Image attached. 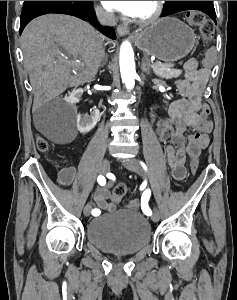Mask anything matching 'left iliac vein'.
<instances>
[{"mask_svg":"<svg viewBox=\"0 0 237 300\" xmlns=\"http://www.w3.org/2000/svg\"><path fill=\"white\" fill-rule=\"evenodd\" d=\"M120 164L124 166L125 168L139 174L142 176H145V171L142 168L141 164L136 160V159H126V160H121ZM160 217V213L156 207L153 209V215L152 219L153 221H158Z\"/></svg>","mask_w":237,"mask_h":300,"instance_id":"left-iliac-vein-1","label":"left iliac vein"}]
</instances>
